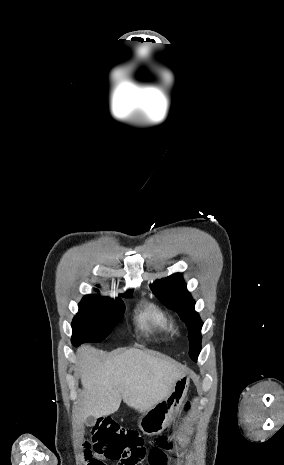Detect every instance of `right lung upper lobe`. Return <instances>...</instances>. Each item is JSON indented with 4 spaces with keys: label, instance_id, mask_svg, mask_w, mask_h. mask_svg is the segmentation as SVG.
Instances as JSON below:
<instances>
[{
    "label": "right lung upper lobe",
    "instance_id": "1",
    "mask_svg": "<svg viewBox=\"0 0 284 465\" xmlns=\"http://www.w3.org/2000/svg\"><path fill=\"white\" fill-rule=\"evenodd\" d=\"M132 292H133V290H129L126 294L120 295V296H129V295H132Z\"/></svg>",
    "mask_w": 284,
    "mask_h": 465
}]
</instances>
